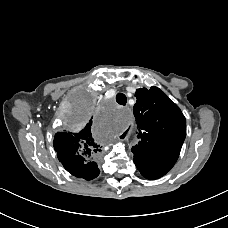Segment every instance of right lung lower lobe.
Returning <instances> with one entry per match:
<instances>
[{"label":"right lung lower lobe","instance_id":"right-lung-lower-lobe-1","mask_svg":"<svg viewBox=\"0 0 228 228\" xmlns=\"http://www.w3.org/2000/svg\"><path fill=\"white\" fill-rule=\"evenodd\" d=\"M65 169L67 171H69L72 175L78 177V173H77V171H76V169L74 167H72L70 165H65ZM99 172H100L99 169L96 167V177L98 176Z\"/></svg>","mask_w":228,"mask_h":228}]
</instances>
